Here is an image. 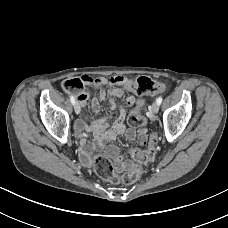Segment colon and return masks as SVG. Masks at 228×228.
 Masks as SVG:
<instances>
[{
	"instance_id": "1",
	"label": "colon",
	"mask_w": 228,
	"mask_h": 228,
	"mask_svg": "<svg viewBox=\"0 0 228 228\" xmlns=\"http://www.w3.org/2000/svg\"><path fill=\"white\" fill-rule=\"evenodd\" d=\"M108 84L121 85L130 87L138 95L157 94L164 90L165 86L149 77L141 76L136 80L122 79L120 77L107 78ZM85 82L83 79L73 78L64 81L63 88L66 92L79 95L84 92ZM100 85V82H94L93 86ZM142 105L139 110H134L129 118L128 123L132 128H138L146 123V119L142 114ZM156 140L155 133L149 136V141L146 149L140 150L133 148L130 150V155L137 162L127 166L123 175L119 176L115 173L113 164L110 159L105 156L99 155L94 160V169L96 173L103 179L112 183H123L126 185L134 184L142 175V168L139 163H147L152 161L156 154Z\"/></svg>"
}]
</instances>
